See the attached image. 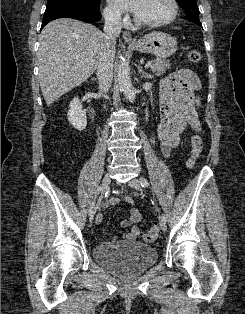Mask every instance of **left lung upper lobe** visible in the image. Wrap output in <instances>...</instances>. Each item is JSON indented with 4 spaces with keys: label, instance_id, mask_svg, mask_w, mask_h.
Instances as JSON below:
<instances>
[{
    "label": "left lung upper lobe",
    "instance_id": "obj_1",
    "mask_svg": "<svg viewBox=\"0 0 245 314\" xmlns=\"http://www.w3.org/2000/svg\"><path fill=\"white\" fill-rule=\"evenodd\" d=\"M186 13V20L201 25L199 20V9L196 0H176Z\"/></svg>",
    "mask_w": 245,
    "mask_h": 314
}]
</instances>
